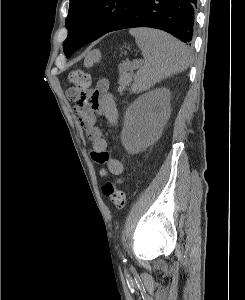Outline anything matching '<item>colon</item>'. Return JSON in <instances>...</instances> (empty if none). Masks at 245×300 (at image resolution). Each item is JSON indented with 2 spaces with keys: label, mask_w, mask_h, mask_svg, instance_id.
I'll use <instances>...</instances> for the list:
<instances>
[{
  "label": "colon",
  "mask_w": 245,
  "mask_h": 300,
  "mask_svg": "<svg viewBox=\"0 0 245 300\" xmlns=\"http://www.w3.org/2000/svg\"><path fill=\"white\" fill-rule=\"evenodd\" d=\"M68 80L71 86L67 89L66 96L71 101H77L91 84L90 75L83 70L72 71L68 75ZM122 182V180L117 182L107 180L103 186L104 194L110 198L113 205L119 210L123 209L126 205L125 193L118 186Z\"/></svg>",
  "instance_id": "1"
}]
</instances>
